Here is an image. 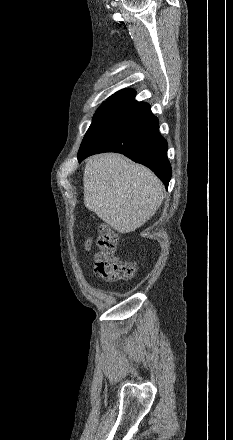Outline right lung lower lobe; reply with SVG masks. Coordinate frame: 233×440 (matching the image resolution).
<instances>
[{"instance_id": "obj_1", "label": "right lung lower lobe", "mask_w": 233, "mask_h": 440, "mask_svg": "<svg viewBox=\"0 0 233 440\" xmlns=\"http://www.w3.org/2000/svg\"><path fill=\"white\" fill-rule=\"evenodd\" d=\"M167 142L159 133V121L150 105L133 101L84 137L78 160L101 152H118L149 167L168 187L172 171Z\"/></svg>"}]
</instances>
